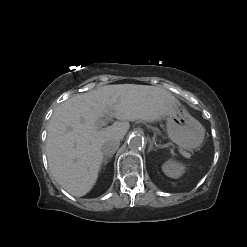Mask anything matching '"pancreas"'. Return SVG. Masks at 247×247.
<instances>
[{
  "label": "pancreas",
  "instance_id": "cf45deb5",
  "mask_svg": "<svg viewBox=\"0 0 247 247\" xmlns=\"http://www.w3.org/2000/svg\"><path fill=\"white\" fill-rule=\"evenodd\" d=\"M185 156L190 157V154L187 152H184Z\"/></svg>",
  "mask_w": 247,
  "mask_h": 247
}]
</instances>
